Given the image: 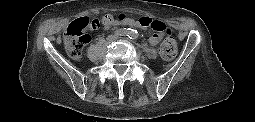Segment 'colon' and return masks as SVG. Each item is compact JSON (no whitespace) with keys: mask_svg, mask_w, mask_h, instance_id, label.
I'll list each match as a JSON object with an SVG mask.
<instances>
[{"mask_svg":"<svg viewBox=\"0 0 255 122\" xmlns=\"http://www.w3.org/2000/svg\"><path fill=\"white\" fill-rule=\"evenodd\" d=\"M128 19L129 17L127 15L120 14L116 18H113L112 16H104L100 20L79 18L71 22L65 30V48L68 54L74 59H79L82 56L83 49L91 40L89 31L96 30L100 26H110L115 21L125 22ZM136 21L139 27L152 29L164 35L165 38L160 45V54L162 58L171 60L176 56L177 44L172 36L170 27L161 21L146 16L139 17Z\"/></svg>","mask_w":255,"mask_h":122,"instance_id":"obj_1","label":"colon"}]
</instances>
